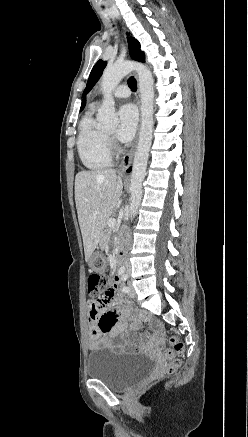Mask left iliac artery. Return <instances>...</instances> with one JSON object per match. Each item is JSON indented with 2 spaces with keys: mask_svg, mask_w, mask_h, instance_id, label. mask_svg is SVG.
Here are the masks:
<instances>
[{
  "mask_svg": "<svg viewBox=\"0 0 248 437\" xmlns=\"http://www.w3.org/2000/svg\"><path fill=\"white\" fill-rule=\"evenodd\" d=\"M127 278H128V275H127V274H124V275H122V277H121V281H122V282H125V281L127 280ZM122 291L125 292V293H128V292H129V287H127V286H123V287H122Z\"/></svg>",
  "mask_w": 248,
  "mask_h": 437,
  "instance_id": "obj_1",
  "label": "left iliac artery"
}]
</instances>
